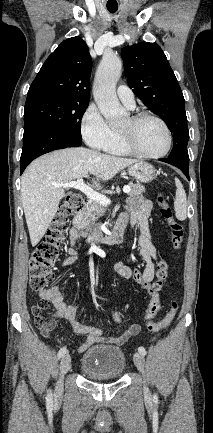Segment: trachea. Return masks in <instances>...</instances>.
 <instances>
[{"label": "trachea", "instance_id": "obj_1", "mask_svg": "<svg viewBox=\"0 0 213 433\" xmlns=\"http://www.w3.org/2000/svg\"><path fill=\"white\" fill-rule=\"evenodd\" d=\"M107 9L110 13H115L117 11L118 7H107Z\"/></svg>", "mask_w": 213, "mask_h": 433}]
</instances>
